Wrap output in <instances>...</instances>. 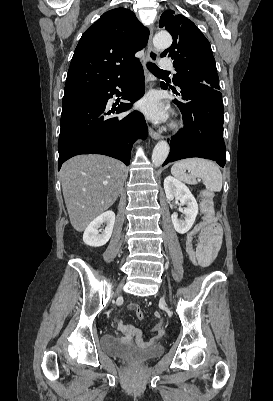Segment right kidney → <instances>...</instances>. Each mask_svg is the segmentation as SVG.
Returning <instances> with one entry per match:
<instances>
[{
    "label": "right kidney",
    "mask_w": 273,
    "mask_h": 401,
    "mask_svg": "<svg viewBox=\"0 0 273 401\" xmlns=\"http://www.w3.org/2000/svg\"><path fill=\"white\" fill-rule=\"evenodd\" d=\"M103 223H106L107 227H105L102 235H99L101 231H98V229ZM114 223L115 213L113 211H106V213H102V215L96 217L84 231L83 241L85 245H89V247H102V245H106L113 233Z\"/></svg>",
    "instance_id": "right-kidney-1"
}]
</instances>
